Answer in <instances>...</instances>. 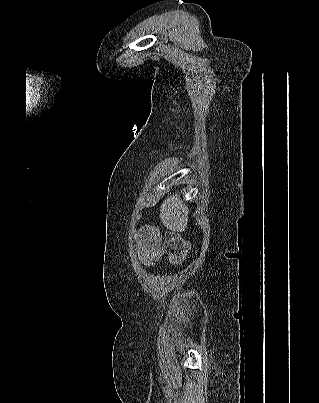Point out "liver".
Here are the masks:
<instances>
[{
  "mask_svg": "<svg viewBox=\"0 0 319 403\" xmlns=\"http://www.w3.org/2000/svg\"><path fill=\"white\" fill-rule=\"evenodd\" d=\"M189 209L180 196L173 195L164 200L160 208L163 225L174 232L185 231L188 224Z\"/></svg>",
  "mask_w": 319,
  "mask_h": 403,
  "instance_id": "1",
  "label": "liver"
}]
</instances>
